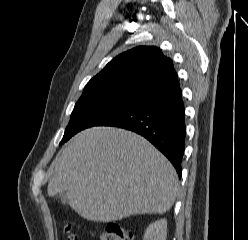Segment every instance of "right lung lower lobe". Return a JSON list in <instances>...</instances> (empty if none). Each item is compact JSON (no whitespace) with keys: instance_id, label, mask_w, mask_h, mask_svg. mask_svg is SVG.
I'll use <instances>...</instances> for the list:
<instances>
[{"instance_id":"right-lung-lower-lobe-1","label":"right lung lower lobe","mask_w":248,"mask_h":240,"mask_svg":"<svg viewBox=\"0 0 248 240\" xmlns=\"http://www.w3.org/2000/svg\"><path fill=\"white\" fill-rule=\"evenodd\" d=\"M101 125L124 128L142 135L170 160L181 177L186 127L179 86L139 99L94 126Z\"/></svg>"}]
</instances>
